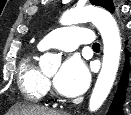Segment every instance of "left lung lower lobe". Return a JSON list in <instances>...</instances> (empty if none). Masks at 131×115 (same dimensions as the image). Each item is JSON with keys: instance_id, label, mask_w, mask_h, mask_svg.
I'll return each instance as SVG.
<instances>
[{"instance_id": "1", "label": "left lung lower lobe", "mask_w": 131, "mask_h": 115, "mask_svg": "<svg viewBox=\"0 0 131 115\" xmlns=\"http://www.w3.org/2000/svg\"><path fill=\"white\" fill-rule=\"evenodd\" d=\"M126 52V62L123 69V73L121 76V79L118 83V91L115 94V99L110 106V109L107 113V115H121L122 112V102L125 100V88L127 86V76L129 72V64H128V57H130V52L125 50Z\"/></svg>"}]
</instances>
